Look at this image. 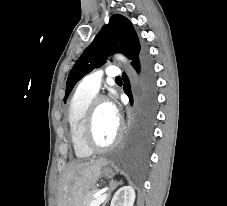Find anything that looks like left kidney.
Here are the masks:
<instances>
[{
    "mask_svg": "<svg viewBox=\"0 0 227 206\" xmlns=\"http://www.w3.org/2000/svg\"><path fill=\"white\" fill-rule=\"evenodd\" d=\"M135 191L132 186H123L114 194L110 206H133Z\"/></svg>",
    "mask_w": 227,
    "mask_h": 206,
    "instance_id": "left-kidney-1",
    "label": "left kidney"
}]
</instances>
